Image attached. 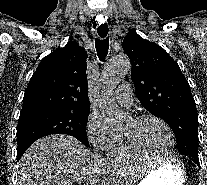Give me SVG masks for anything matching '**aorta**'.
<instances>
[{"label":"aorta","instance_id":"obj_1","mask_svg":"<svg viewBox=\"0 0 207 185\" xmlns=\"http://www.w3.org/2000/svg\"><path fill=\"white\" fill-rule=\"evenodd\" d=\"M130 69L131 63L126 56H116L105 64L101 74L99 107L110 126L115 130L124 128L129 119L128 114L115 102L113 93Z\"/></svg>","mask_w":207,"mask_h":185}]
</instances>
